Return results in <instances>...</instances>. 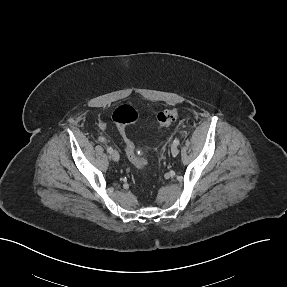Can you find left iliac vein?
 <instances>
[{"label":"left iliac vein","instance_id":"1","mask_svg":"<svg viewBox=\"0 0 287 287\" xmlns=\"http://www.w3.org/2000/svg\"><path fill=\"white\" fill-rule=\"evenodd\" d=\"M179 153V149L177 147V145H175L174 143L171 145V154L173 157H176Z\"/></svg>","mask_w":287,"mask_h":287}]
</instances>
